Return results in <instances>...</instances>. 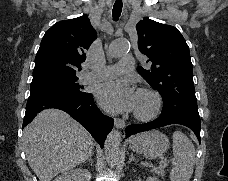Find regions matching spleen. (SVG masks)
Instances as JSON below:
<instances>
[{"instance_id":"spleen-1","label":"spleen","mask_w":228,"mask_h":181,"mask_svg":"<svg viewBox=\"0 0 228 181\" xmlns=\"http://www.w3.org/2000/svg\"><path fill=\"white\" fill-rule=\"evenodd\" d=\"M174 163L170 173V181H190L195 165V149L192 141L181 133H173Z\"/></svg>"}]
</instances>
